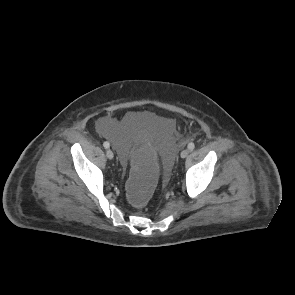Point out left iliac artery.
I'll list each match as a JSON object with an SVG mask.
<instances>
[{"label":"left iliac artery","instance_id":"left-iliac-artery-1","mask_svg":"<svg viewBox=\"0 0 295 295\" xmlns=\"http://www.w3.org/2000/svg\"><path fill=\"white\" fill-rule=\"evenodd\" d=\"M194 148H195V144L194 143L191 142V143L188 144V149L189 150H193Z\"/></svg>","mask_w":295,"mask_h":295}]
</instances>
